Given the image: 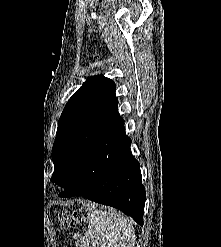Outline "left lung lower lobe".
<instances>
[{
  "label": "left lung lower lobe",
  "instance_id": "obj_1",
  "mask_svg": "<svg viewBox=\"0 0 221 247\" xmlns=\"http://www.w3.org/2000/svg\"><path fill=\"white\" fill-rule=\"evenodd\" d=\"M124 120L108 127L96 141L86 163L61 197L83 196L119 209L143 225L145 188L140 164L130 151Z\"/></svg>",
  "mask_w": 221,
  "mask_h": 247
}]
</instances>
